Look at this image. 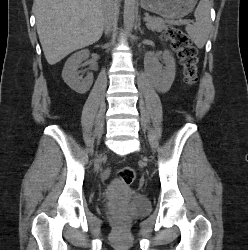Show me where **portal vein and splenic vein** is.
<instances>
[{
    "mask_svg": "<svg viewBox=\"0 0 248 250\" xmlns=\"http://www.w3.org/2000/svg\"><path fill=\"white\" fill-rule=\"evenodd\" d=\"M151 19V17H149V16H146L145 18H144V21H149ZM192 21L191 20H183V21H180V23L181 24H190Z\"/></svg>",
    "mask_w": 248,
    "mask_h": 250,
    "instance_id": "obj_1",
    "label": "portal vein and splenic vein"
}]
</instances>
